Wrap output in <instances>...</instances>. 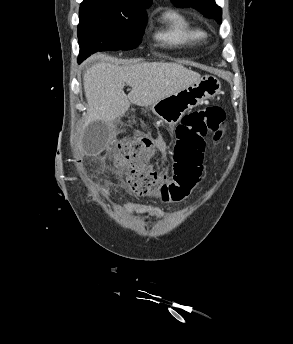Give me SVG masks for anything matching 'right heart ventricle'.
Masks as SVG:
<instances>
[{
    "label": "right heart ventricle",
    "instance_id": "right-heart-ventricle-1",
    "mask_svg": "<svg viewBox=\"0 0 293 344\" xmlns=\"http://www.w3.org/2000/svg\"><path fill=\"white\" fill-rule=\"evenodd\" d=\"M163 28L156 38L171 46L191 47L206 38L205 31L189 17L178 11H167L162 15Z\"/></svg>",
    "mask_w": 293,
    "mask_h": 344
}]
</instances>
